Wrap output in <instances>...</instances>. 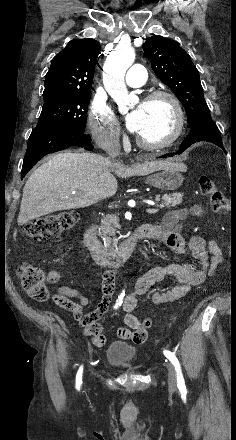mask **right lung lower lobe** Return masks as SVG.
<instances>
[{
	"label": "right lung lower lobe",
	"instance_id": "1",
	"mask_svg": "<svg viewBox=\"0 0 236 440\" xmlns=\"http://www.w3.org/2000/svg\"><path fill=\"white\" fill-rule=\"evenodd\" d=\"M91 138L77 129H34L28 140L21 178L45 155L70 146L84 147L91 151Z\"/></svg>",
	"mask_w": 236,
	"mask_h": 440
}]
</instances>
